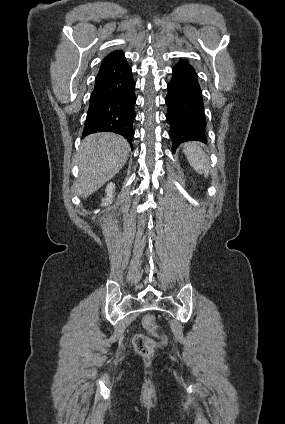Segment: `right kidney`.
I'll return each mask as SVG.
<instances>
[{
    "label": "right kidney",
    "instance_id": "obj_1",
    "mask_svg": "<svg viewBox=\"0 0 285 424\" xmlns=\"http://www.w3.org/2000/svg\"><path fill=\"white\" fill-rule=\"evenodd\" d=\"M114 192H115V184L111 182L106 186V189H105L106 196L105 198L102 199L101 206H108L109 204L112 203L114 198Z\"/></svg>",
    "mask_w": 285,
    "mask_h": 424
}]
</instances>
